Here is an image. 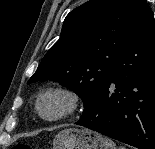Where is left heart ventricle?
<instances>
[{"label":"left heart ventricle","mask_w":155,"mask_h":149,"mask_svg":"<svg viewBox=\"0 0 155 149\" xmlns=\"http://www.w3.org/2000/svg\"><path fill=\"white\" fill-rule=\"evenodd\" d=\"M64 108V102L59 97H47L42 101L41 109L44 115L53 117L59 114Z\"/></svg>","instance_id":"b2bd125f"}]
</instances>
